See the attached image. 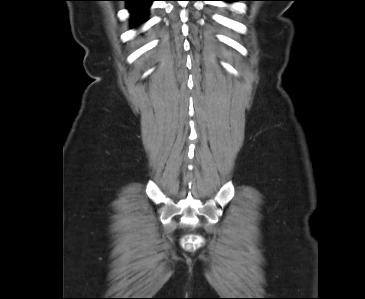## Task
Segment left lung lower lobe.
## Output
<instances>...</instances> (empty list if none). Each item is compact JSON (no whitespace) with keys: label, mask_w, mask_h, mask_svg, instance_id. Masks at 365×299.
Listing matches in <instances>:
<instances>
[{"label":"left lung lower lobe","mask_w":365,"mask_h":299,"mask_svg":"<svg viewBox=\"0 0 365 299\" xmlns=\"http://www.w3.org/2000/svg\"><path fill=\"white\" fill-rule=\"evenodd\" d=\"M222 1H241V0H222Z\"/></svg>","instance_id":"1"}]
</instances>
